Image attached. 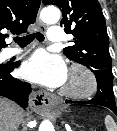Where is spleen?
<instances>
[{
  "label": "spleen",
  "mask_w": 117,
  "mask_h": 131,
  "mask_svg": "<svg viewBox=\"0 0 117 131\" xmlns=\"http://www.w3.org/2000/svg\"><path fill=\"white\" fill-rule=\"evenodd\" d=\"M105 126L107 131H117L116 123L110 115L105 116Z\"/></svg>",
  "instance_id": "spleen-1"
}]
</instances>
